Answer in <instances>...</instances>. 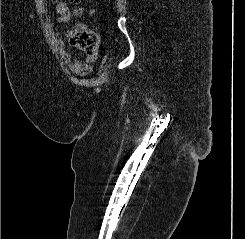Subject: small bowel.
Instances as JSON below:
<instances>
[{
	"label": "small bowel",
	"instance_id": "obj_1",
	"mask_svg": "<svg viewBox=\"0 0 245 239\" xmlns=\"http://www.w3.org/2000/svg\"><path fill=\"white\" fill-rule=\"evenodd\" d=\"M55 11L59 15L57 22L60 26H65L72 18L69 8L64 2H58ZM57 45L59 47L62 59L73 73L80 76H85L92 72V64L98 60L97 52L86 55L85 58L81 60L72 57L70 52L65 49V43L62 39L57 40Z\"/></svg>",
	"mask_w": 245,
	"mask_h": 239
}]
</instances>
